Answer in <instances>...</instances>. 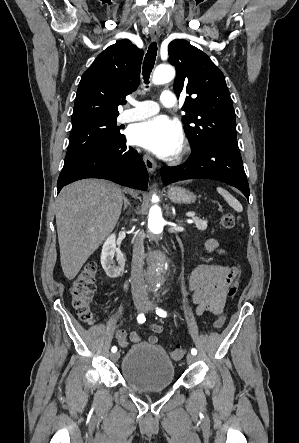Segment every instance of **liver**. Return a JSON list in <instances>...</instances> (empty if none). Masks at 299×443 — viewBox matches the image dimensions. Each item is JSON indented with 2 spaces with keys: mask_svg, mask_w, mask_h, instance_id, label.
I'll return each instance as SVG.
<instances>
[{
  "mask_svg": "<svg viewBox=\"0 0 299 443\" xmlns=\"http://www.w3.org/2000/svg\"><path fill=\"white\" fill-rule=\"evenodd\" d=\"M123 193L106 180L84 179L64 187L56 201L60 262L65 277H76L90 255L113 231Z\"/></svg>",
  "mask_w": 299,
  "mask_h": 443,
  "instance_id": "obj_1",
  "label": "liver"
}]
</instances>
